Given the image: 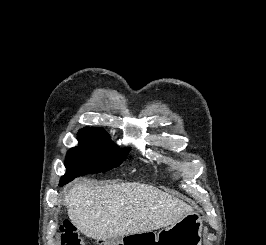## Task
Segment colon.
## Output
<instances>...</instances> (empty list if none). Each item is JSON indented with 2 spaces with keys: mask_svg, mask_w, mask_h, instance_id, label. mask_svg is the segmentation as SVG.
<instances>
[{
  "mask_svg": "<svg viewBox=\"0 0 266 245\" xmlns=\"http://www.w3.org/2000/svg\"><path fill=\"white\" fill-rule=\"evenodd\" d=\"M60 241L61 245H86L73 222L68 219H64L61 225Z\"/></svg>",
  "mask_w": 266,
  "mask_h": 245,
  "instance_id": "1",
  "label": "colon"
}]
</instances>
